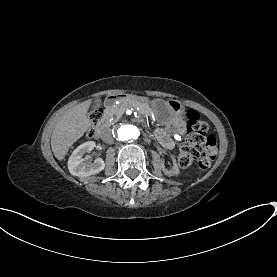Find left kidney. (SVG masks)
<instances>
[{
  "instance_id": "left-kidney-1",
  "label": "left kidney",
  "mask_w": 277,
  "mask_h": 277,
  "mask_svg": "<svg viewBox=\"0 0 277 277\" xmlns=\"http://www.w3.org/2000/svg\"><path fill=\"white\" fill-rule=\"evenodd\" d=\"M162 171L169 177L178 175L180 173V169L177 165L176 159L173 158V168L172 169H167L164 166H162Z\"/></svg>"
}]
</instances>
